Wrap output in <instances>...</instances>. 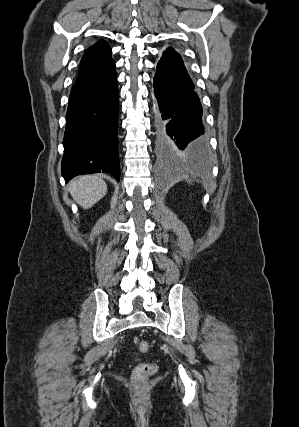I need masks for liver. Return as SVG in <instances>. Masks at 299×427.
Masks as SVG:
<instances>
[{
    "mask_svg": "<svg viewBox=\"0 0 299 427\" xmlns=\"http://www.w3.org/2000/svg\"><path fill=\"white\" fill-rule=\"evenodd\" d=\"M73 199L83 208H91L107 192V184L97 175H84L73 179L68 185Z\"/></svg>",
    "mask_w": 299,
    "mask_h": 427,
    "instance_id": "6515ba94",
    "label": "liver"
}]
</instances>
